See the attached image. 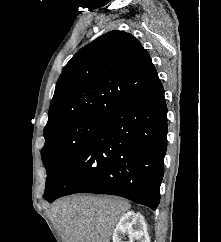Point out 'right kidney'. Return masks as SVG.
<instances>
[{
  "mask_svg": "<svg viewBox=\"0 0 221 242\" xmlns=\"http://www.w3.org/2000/svg\"><path fill=\"white\" fill-rule=\"evenodd\" d=\"M126 234L128 242H150L147 225L140 213L129 211L120 218L112 235L113 242H124L122 239Z\"/></svg>",
  "mask_w": 221,
  "mask_h": 242,
  "instance_id": "1",
  "label": "right kidney"
}]
</instances>
